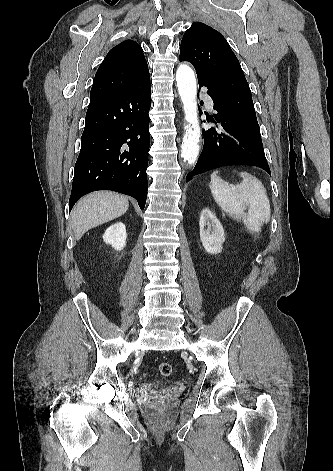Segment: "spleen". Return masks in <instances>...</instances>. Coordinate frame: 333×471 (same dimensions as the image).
Returning a JSON list of instances; mask_svg holds the SVG:
<instances>
[{
  "instance_id": "obj_1",
  "label": "spleen",
  "mask_w": 333,
  "mask_h": 471,
  "mask_svg": "<svg viewBox=\"0 0 333 471\" xmlns=\"http://www.w3.org/2000/svg\"><path fill=\"white\" fill-rule=\"evenodd\" d=\"M242 182L229 185L218 176L211 174V193L219 207L232 218L242 219L249 232L259 233L261 225L270 220V202L262 183L247 172H241ZM248 206V212H244Z\"/></svg>"
}]
</instances>
